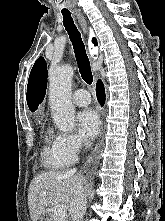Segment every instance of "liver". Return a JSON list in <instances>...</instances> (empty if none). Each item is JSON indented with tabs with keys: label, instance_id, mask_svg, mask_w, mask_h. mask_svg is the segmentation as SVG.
Wrapping results in <instances>:
<instances>
[{
	"label": "liver",
	"instance_id": "liver-1",
	"mask_svg": "<svg viewBox=\"0 0 165 221\" xmlns=\"http://www.w3.org/2000/svg\"><path fill=\"white\" fill-rule=\"evenodd\" d=\"M81 177L63 172H44L33 178L28 190V205L32 221H37L51 204L64 206L71 213V204ZM46 192V196H40Z\"/></svg>",
	"mask_w": 165,
	"mask_h": 221
}]
</instances>
